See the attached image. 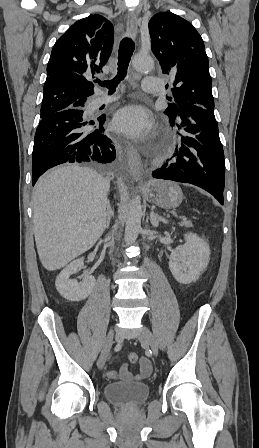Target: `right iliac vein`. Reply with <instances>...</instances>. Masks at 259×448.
<instances>
[{"instance_id":"63e3f726","label":"right iliac vein","mask_w":259,"mask_h":448,"mask_svg":"<svg viewBox=\"0 0 259 448\" xmlns=\"http://www.w3.org/2000/svg\"><path fill=\"white\" fill-rule=\"evenodd\" d=\"M113 336H114L113 329H110V331L105 339L103 349L101 351L100 357L97 362V366L99 369H102L104 367V364L106 362V359L109 355L110 349L113 344Z\"/></svg>"}]
</instances>
